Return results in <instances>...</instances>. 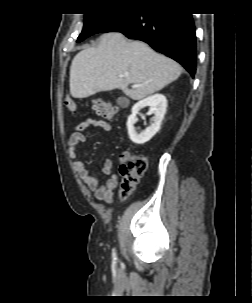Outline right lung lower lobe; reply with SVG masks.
<instances>
[{
    "mask_svg": "<svg viewBox=\"0 0 252 303\" xmlns=\"http://www.w3.org/2000/svg\"><path fill=\"white\" fill-rule=\"evenodd\" d=\"M121 32L148 43L154 50L179 62L194 76L196 35L191 14L176 9H131L100 33Z\"/></svg>",
    "mask_w": 252,
    "mask_h": 303,
    "instance_id": "98d812e1",
    "label": "right lung lower lobe"
}]
</instances>
